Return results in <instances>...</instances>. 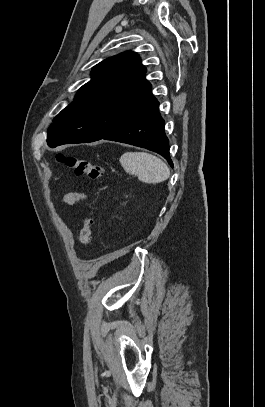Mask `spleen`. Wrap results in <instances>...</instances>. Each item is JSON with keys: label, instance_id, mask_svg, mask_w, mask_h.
I'll return each mask as SVG.
<instances>
[{"label": "spleen", "instance_id": "1", "mask_svg": "<svg viewBox=\"0 0 265 407\" xmlns=\"http://www.w3.org/2000/svg\"><path fill=\"white\" fill-rule=\"evenodd\" d=\"M120 163L127 173L137 175L145 183H159L167 180L170 170L158 157L146 152H126Z\"/></svg>", "mask_w": 265, "mask_h": 407}]
</instances>
